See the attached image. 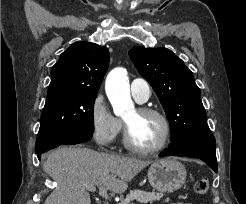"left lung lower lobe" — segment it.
<instances>
[{"label": "left lung lower lobe", "instance_id": "left-lung-lower-lobe-1", "mask_svg": "<svg viewBox=\"0 0 246 204\" xmlns=\"http://www.w3.org/2000/svg\"><path fill=\"white\" fill-rule=\"evenodd\" d=\"M216 141L210 129H204L187 134L172 141L167 150L160 154L164 156L196 157L206 162L217 172Z\"/></svg>", "mask_w": 246, "mask_h": 204}]
</instances>
